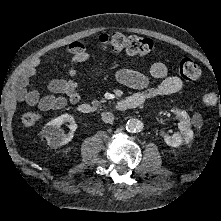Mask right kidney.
<instances>
[{
    "label": "right kidney",
    "instance_id": "1",
    "mask_svg": "<svg viewBox=\"0 0 221 221\" xmlns=\"http://www.w3.org/2000/svg\"><path fill=\"white\" fill-rule=\"evenodd\" d=\"M70 123V133L64 134V131L60 128L63 123ZM77 126L75 124L74 117L70 114H62L49 121L42 130L43 136L46 138L47 143L52 148H57L69 143L73 138V133Z\"/></svg>",
    "mask_w": 221,
    "mask_h": 221
}]
</instances>
